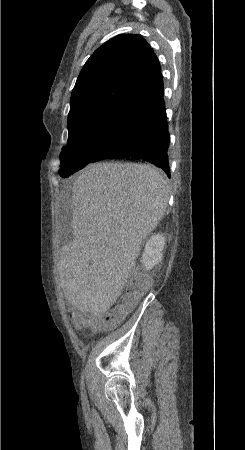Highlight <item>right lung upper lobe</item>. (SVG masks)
I'll list each match as a JSON object with an SVG mask.
<instances>
[{
    "instance_id": "1",
    "label": "right lung upper lobe",
    "mask_w": 245,
    "mask_h": 450,
    "mask_svg": "<svg viewBox=\"0 0 245 450\" xmlns=\"http://www.w3.org/2000/svg\"><path fill=\"white\" fill-rule=\"evenodd\" d=\"M159 61L139 35H118L99 47L77 78L69 117L82 108L115 104L140 111L163 96Z\"/></svg>"
}]
</instances>
